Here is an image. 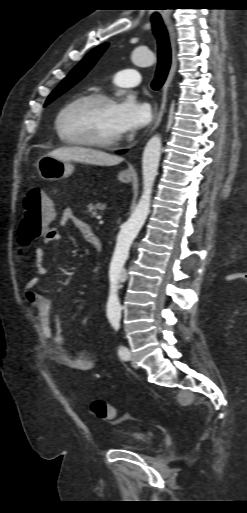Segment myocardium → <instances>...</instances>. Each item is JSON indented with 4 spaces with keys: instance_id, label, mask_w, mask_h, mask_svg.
Returning a JSON list of instances; mask_svg holds the SVG:
<instances>
[{
    "instance_id": "myocardium-1",
    "label": "myocardium",
    "mask_w": 247,
    "mask_h": 513,
    "mask_svg": "<svg viewBox=\"0 0 247 513\" xmlns=\"http://www.w3.org/2000/svg\"><path fill=\"white\" fill-rule=\"evenodd\" d=\"M81 102H101V103H115L113 97L103 94V93H89L85 95H81L72 101L65 104L58 112L55 119V129L58 135L65 140L67 143L74 145H83V146H92L98 148H110L116 146L121 142V136L109 139V140H94V139H85V138H69L64 135L61 129V120L65 113L75 104Z\"/></svg>"
}]
</instances>
